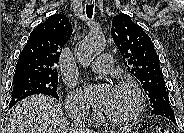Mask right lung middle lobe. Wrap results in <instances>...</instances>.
Segmentation results:
<instances>
[{"label": "right lung middle lobe", "instance_id": "dd1d6c3e", "mask_svg": "<svg viewBox=\"0 0 184 133\" xmlns=\"http://www.w3.org/2000/svg\"><path fill=\"white\" fill-rule=\"evenodd\" d=\"M58 77L29 76L13 78L12 99L9 108L18 101L33 95L46 94L59 99L57 94Z\"/></svg>", "mask_w": 184, "mask_h": 133}]
</instances>
